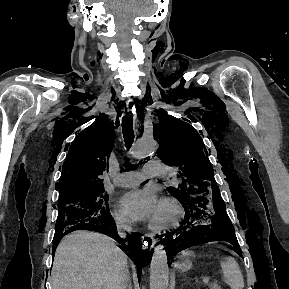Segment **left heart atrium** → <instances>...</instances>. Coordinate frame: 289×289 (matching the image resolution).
I'll return each mask as SVG.
<instances>
[{"mask_svg":"<svg viewBox=\"0 0 289 289\" xmlns=\"http://www.w3.org/2000/svg\"><path fill=\"white\" fill-rule=\"evenodd\" d=\"M123 211L133 220L154 219L159 209L152 189H135L125 193L120 199Z\"/></svg>","mask_w":289,"mask_h":289,"instance_id":"1","label":"left heart atrium"}]
</instances>
